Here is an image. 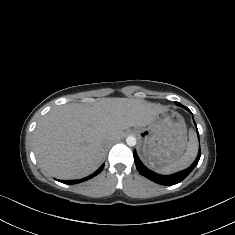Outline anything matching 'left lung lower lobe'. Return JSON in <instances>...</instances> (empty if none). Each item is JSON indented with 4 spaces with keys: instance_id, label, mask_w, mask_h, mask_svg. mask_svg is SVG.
Returning a JSON list of instances; mask_svg holds the SVG:
<instances>
[{
    "instance_id": "1",
    "label": "left lung lower lobe",
    "mask_w": 235,
    "mask_h": 235,
    "mask_svg": "<svg viewBox=\"0 0 235 235\" xmlns=\"http://www.w3.org/2000/svg\"><path fill=\"white\" fill-rule=\"evenodd\" d=\"M184 108L190 112V110L187 107H184ZM200 156H201V151L199 149L198 156L190 167L172 175H160L149 170L147 167H145L144 164L140 161L139 157L137 156L136 151H134V160H135V164L139 173L145 176L146 178L154 181L155 183L168 185V186L177 184L181 182L182 180H184L191 173V171L196 167V165L199 162Z\"/></svg>"
}]
</instances>
